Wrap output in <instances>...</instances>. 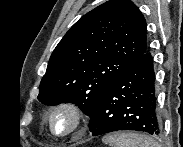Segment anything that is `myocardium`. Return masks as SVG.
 <instances>
[{
	"label": "myocardium",
	"mask_w": 183,
	"mask_h": 147,
	"mask_svg": "<svg viewBox=\"0 0 183 147\" xmlns=\"http://www.w3.org/2000/svg\"><path fill=\"white\" fill-rule=\"evenodd\" d=\"M60 111H66L74 118V126L72 127V129L63 134L55 132L52 125V119L54 115ZM84 122H85V115L82 108L78 104L71 101H63L56 104L49 110L47 115V124L50 132L55 137L59 138H66L76 134L83 127Z\"/></svg>",
	"instance_id": "myocardium-1"
}]
</instances>
